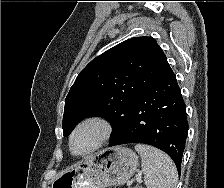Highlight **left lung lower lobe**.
<instances>
[{
    "label": "left lung lower lobe",
    "instance_id": "obj_1",
    "mask_svg": "<svg viewBox=\"0 0 224 188\" xmlns=\"http://www.w3.org/2000/svg\"><path fill=\"white\" fill-rule=\"evenodd\" d=\"M187 133L185 104L171 69L141 92L109 147L126 143L152 145L166 152L180 173Z\"/></svg>",
    "mask_w": 224,
    "mask_h": 188
}]
</instances>
